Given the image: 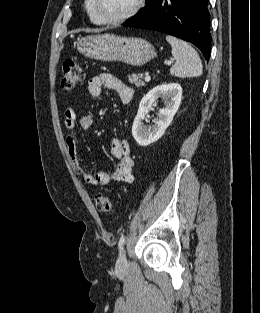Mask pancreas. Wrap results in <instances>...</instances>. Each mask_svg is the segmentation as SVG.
Here are the masks:
<instances>
[{"instance_id":"pancreas-1","label":"pancreas","mask_w":260,"mask_h":313,"mask_svg":"<svg viewBox=\"0 0 260 313\" xmlns=\"http://www.w3.org/2000/svg\"><path fill=\"white\" fill-rule=\"evenodd\" d=\"M128 77H129V82L131 84H135L137 88L145 86V83L142 80L143 79L142 74H138V75L133 74V75H129Z\"/></svg>"}]
</instances>
